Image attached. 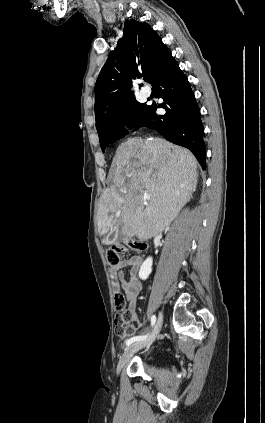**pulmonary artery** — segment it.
Instances as JSON below:
<instances>
[{
    "instance_id": "obj_1",
    "label": "pulmonary artery",
    "mask_w": 265,
    "mask_h": 423,
    "mask_svg": "<svg viewBox=\"0 0 265 423\" xmlns=\"http://www.w3.org/2000/svg\"><path fill=\"white\" fill-rule=\"evenodd\" d=\"M141 93L146 96L149 97L151 95V89L147 86L142 87L141 89Z\"/></svg>"
}]
</instances>
